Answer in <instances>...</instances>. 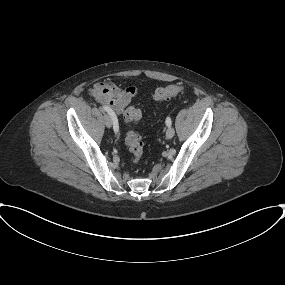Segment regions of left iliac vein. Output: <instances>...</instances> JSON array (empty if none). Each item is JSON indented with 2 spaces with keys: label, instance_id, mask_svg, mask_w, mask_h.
Masks as SVG:
<instances>
[{
  "label": "left iliac vein",
  "instance_id": "1",
  "mask_svg": "<svg viewBox=\"0 0 285 285\" xmlns=\"http://www.w3.org/2000/svg\"><path fill=\"white\" fill-rule=\"evenodd\" d=\"M174 134H175L174 128L172 126H168V129L166 131V137L168 139H171L173 138Z\"/></svg>",
  "mask_w": 285,
  "mask_h": 285
}]
</instances>
